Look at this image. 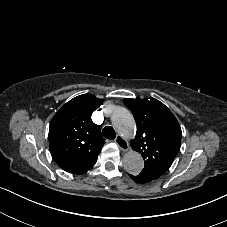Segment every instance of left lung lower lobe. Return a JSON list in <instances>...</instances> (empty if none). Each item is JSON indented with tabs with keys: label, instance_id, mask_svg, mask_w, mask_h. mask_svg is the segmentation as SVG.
<instances>
[{
	"label": "left lung lower lobe",
	"instance_id": "0a47b994",
	"mask_svg": "<svg viewBox=\"0 0 227 227\" xmlns=\"http://www.w3.org/2000/svg\"><path fill=\"white\" fill-rule=\"evenodd\" d=\"M133 181H135L136 183H147V182H151L152 179L146 177V176H142V175H137V176H133V175H129Z\"/></svg>",
	"mask_w": 227,
	"mask_h": 227
}]
</instances>
